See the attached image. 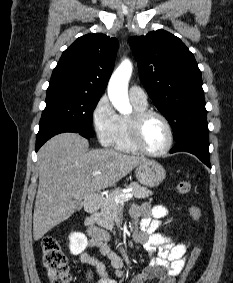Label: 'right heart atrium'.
Segmentation results:
<instances>
[{"label":"right heart atrium","mask_w":233,"mask_h":283,"mask_svg":"<svg viewBox=\"0 0 233 283\" xmlns=\"http://www.w3.org/2000/svg\"><path fill=\"white\" fill-rule=\"evenodd\" d=\"M119 115L115 112L107 96H102L92 111V126L99 143L109 147L113 145Z\"/></svg>","instance_id":"right-heart-atrium-1"}]
</instances>
